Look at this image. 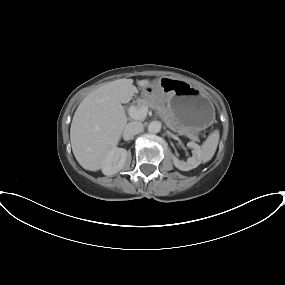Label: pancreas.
<instances>
[{
    "label": "pancreas",
    "mask_w": 285,
    "mask_h": 285,
    "mask_svg": "<svg viewBox=\"0 0 285 285\" xmlns=\"http://www.w3.org/2000/svg\"><path fill=\"white\" fill-rule=\"evenodd\" d=\"M143 106H146V107H149V108H152V109H155V110H165L163 105L158 104L154 100H150V99H147V98L137 99L135 107L137 109H140ZM175 131L178 132L181 135H183V134L187 135L193 141H198L199 140L198 136L195 135L192 132H188V131H186L184 129H181V128H176Z\"/></svg>",
    "instance_id": "pancreas-1"
}]
</instances>
